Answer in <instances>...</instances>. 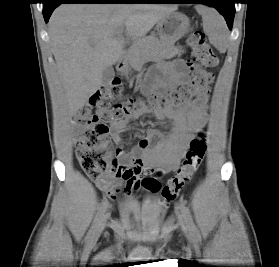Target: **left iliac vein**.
<instances>
[{
    "mask_svg": "<svg viewBox=\"0 0 279 267\" xmlns=\"http://www.w3.org/2000/svg\"><path fill=\"white\" fill-rule=\"evenodd\" d=\"M181 228L187 239L192 240V232L190 231L187 223L181 218Z\"/></svg>",
    "mask_w": 279,
    "mask_h": 267,
    "instance_id": "obj_1",
    "label": "left iliac vein"
}]
</instances>
